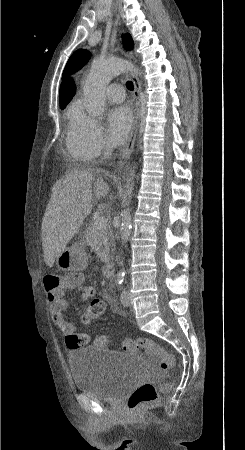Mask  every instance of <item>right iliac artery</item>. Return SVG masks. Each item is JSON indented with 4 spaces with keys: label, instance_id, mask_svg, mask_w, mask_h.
I'll list each match as a JSON object with an SVG mask.
<instances>
[{
    "label": "right iliac artery",
    "instance_id": "obj_1",
    "mask_svg": "<svg viewBox=\"0 0 245 450\" xmlns=\"http://www.w3.org/2000/svg\"><path fill=\"white\" fill-rule=\"evenodd\" d=\"M123 281H124V276L123 275H117L116 282H117V284L119 286L123 283Z\"/></svg>",
    "mask_w": 245,
    "mask_h": 450
}]
</instances>
